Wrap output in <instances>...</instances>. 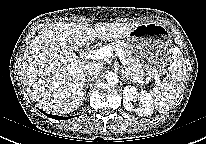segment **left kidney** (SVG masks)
<instances>
[{"label": "left kidney", "mask_w": 206, "mask_h": 144, "mask_svg": "<svg viewBox=\"0 0 206 144\" xmlns=\"http://www.w3.org/2000/svg\"><path fill=\"white\" fill-rule=\"evenodd\" d=\"M133 101H138L139 108H134ZM123 106L127 111H134L139 116H151L153 104L146 91L138 92L133 86H125L123 90Z\"/></svg>", "instance_id": "obj_1"}]
</instances>
